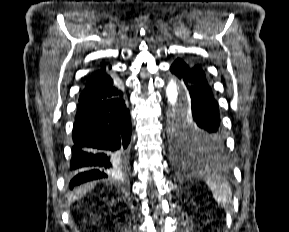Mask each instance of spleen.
Segmentation results:
<instances>
[{"label": "spleen", "instance_id": "3e777b00", "mask_svg": "<svg viewBox=\"0 0 289 232\" xmlns=\"http://www.w3.org/2000/svg\"><path fill=\"white\" fill-rule=\"evenodd\" d=\"M207 185L211 189L213 196L217 203L224 208H228L232 205V191L229 183L221 177L216 179L209 178Z\"/></svg>", "mask_w": 289, "mask_h": 232}]
</instances>
